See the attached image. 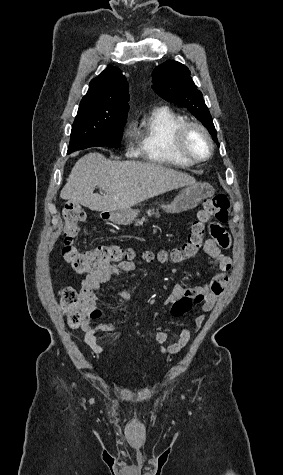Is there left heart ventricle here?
<instances>
[{"label":"left heart ventricle","mask_w":283,"mask_h":475,"mask_svg":"<svg viewBox=\"0 0 283 475\" xmlns=\"http://www.w3.org/2000/svg\"><path fill=\"white\" fill-rule=\"evenodd\" d=\"M208 143L205 137L196 129H191L187 133L185 143L182 147L173 144L166 146V151L173 157L187 154L192 157H204L208 153Z\"/></svg>","instance_id":"obj_1"}]
</instances>
